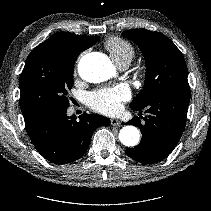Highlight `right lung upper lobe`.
I'll return each mask as SVG.
<instances>
[{"instance_id":"right-lung-upper-lobe-1","label":"right lung upper lobe","mask_w":211,"mask_h":211,"mask_svg":"<svg viewBox=\"0 0 211 211\" xmlns=\"http://www.w3.org/2000/svg\"><path fill=\"white\" fill-rule=\"evenodd\" d=\"M99 36H81L67 32H58L49 37L40 45L48 47L56 56L74 58L84 50L94 45Z\"/></svg>"}]
</instances>
